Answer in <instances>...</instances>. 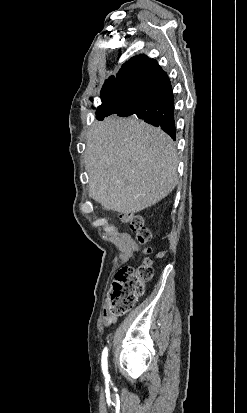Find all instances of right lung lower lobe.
<instances>
[{
    "label": "right lung lower lobe",
    "mask_w": 247,
    "mask_h": 413,
    "mask_svg": "<svg viewBox=\"0 0 247 413\" xmlns=\"http://www.w3.org/2000/svg\"><path fill=\"white\" fill-rule=\"evenodd\" d=\"M128 83L136 90V97H111L102 101L96 111V118L103 120L111 114L135 115L176 139L174 122V97L170 80L162 69L141 71L129 78Z\"/></svg>",
    "instance_id": "obj_1"
}]
</instances>
